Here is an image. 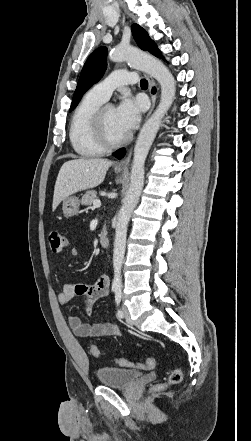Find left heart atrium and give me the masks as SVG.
Instances as JSON below:
<instances>
[{
  "label": "left heart atrium",
  "instance_id": "1",
  "mask_svg": "<svg viewBox=\"0 0 251 441\" xmlns=\"http://www.w3.org/2000/svg\"><path fill=\"white\" fill-rule=\"evenodd\" d=\"M141 104L132 98H124L116 108V118L121 129L128 133L136 128L140 121Z\"/></svg>",
  "mask_w": 251,
  "mask_h": 441
}]
</instances>
